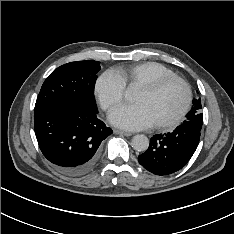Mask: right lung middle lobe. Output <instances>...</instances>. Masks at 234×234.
I'll return each instance as SVG.
<instances>
[{"label": "right lung middle lobe", "instance_id": "obj_1", "mask_svg": "<svg viewBox=\"0 0 234 234\" xmlns=\"http://www.w3.org/2000/svg\"><path fill=\"white\" fill-rule=\"evenodd\" d=\"M98 61H76L55 69L44 81L34 111L56 102H71L95 109L93 96Z\"/></svg>", "mask_w": 234, "mask_h": 234}]
</instances>
